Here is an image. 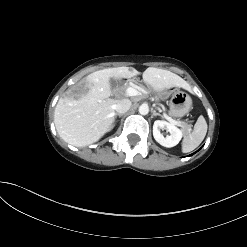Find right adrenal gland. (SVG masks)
<instances>
[{"label": "right adrenal gland", "instance_id": "1", "mask_svg": "<svg viewBox=\"0 0 247 247\" xmlns=\"http://www.w3.org/2000/svg\"><path fill=\"white\" fill-rule=\"evenodd\" d=\"M117 116L122 117L123 115H122V114L116 113L115 116H114V119H115Z\"/></svg>", "mask_w": 247, "mask_h": 247}]
</instances>
